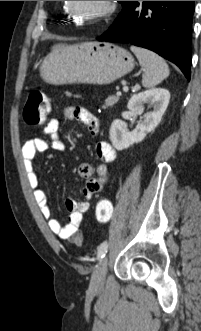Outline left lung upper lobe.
I'll return each mask as SVG.
<instances>
[{"mask_svg":"<svg viewBox=\"0 0 201 331\" xmlns=\"http://www.w3.org/2000/svg\"><path fill=\"white\" fill-rule=\"evenodd\" d=\"M120 3H123L124 1H119Z\"/></svg>","mask_w":201,"mask_h":331,"instance_id":"5c2ea615","label":"left lung upper lobe"}]
</instances>
